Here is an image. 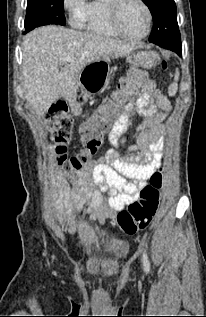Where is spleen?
Masks as SVG:
<instances>
[{"mask_svg": "<svg viewBox=\"0 0 206 317\" xmlns=\"http://www.w3.org/2000/svg\"><path fill=\"white\" fill-rule=\"evenodd\" d=\"M179 79V71L178 69L176 70L175 77H174V82L168 87V95L169 96H174L177 92L178 85L177 81Z\"/></svg>", "mask_w": 206, "mask_h": 317, "instance_id": "3e777b00", "label": "spleen"}]
</instances>
